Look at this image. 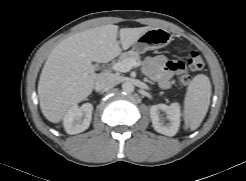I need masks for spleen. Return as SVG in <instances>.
Returning a JSON list of instances; mask_svg holds the SVG:
<instances>
[{
    "mask_svg": "<svg viewBox=\"0 0 246 181\" xmlns=\"http://www.w3.org/2000/svg\"><path fill=\"white\" fill-rule=\"evenodd\" d=\"M211 93L210 79L206 75L199 74L191 80L184 99L186 129L195 130L200 126L208 111Z\"/></svg>",
    "mask_w": 246,
    "mask_h": 181,
    "instance_id": "1",
    "label": "spleen"
}]
</instances>
